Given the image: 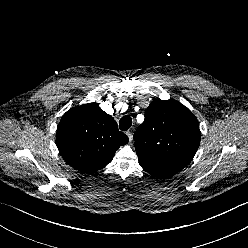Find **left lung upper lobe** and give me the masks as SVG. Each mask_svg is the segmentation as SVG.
I'll return each instance as SVG.
<instances>
[{
	"mask_svg": "<svg viewBox=\"0 0 248 248\" xmlns=\"http://www.w3.org/2000/svg\"><path fill=\"white\" fill-rule=\"evenodd\" d=\"M141 167L155 177H169L185 168L200 144L199 123L175 100L153 101L134 134Z\"/></svg>",
	"mask_w": 248,
	"mask_h": 248,
	"instance_id": "left-lung-upper-lobe-1",
	"label": "left lung upper lobe"
}]
</instances>
